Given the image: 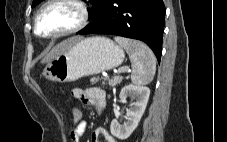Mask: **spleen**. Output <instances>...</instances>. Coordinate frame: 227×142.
<instances>
[{
    "mask_svg": "<svg viewBox=\"0 0 227 142\" xmlns=\"http://www.w3.org/2000/svg\"><path fill=\"white\" fill-rule=\"evenodd\" d=\"M114 39L129 55L132 83L138 86L149 84L156 72V58L152 50L146 44L136 40L123 37Z\"/></svg>",
    "mask_w": 227,
    "mask_h": 142,
    "instance_id": "3e777b00",
    "label": "spleen"
}]
</instances>
